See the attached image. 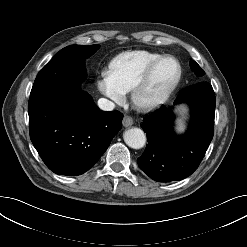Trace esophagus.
<instances>
[{
    "mask_svg": "<svg viewBox=\"0 0 247 247\" xmlns=\"http://www.w3.org/2000/svg\"><path fill=\"white\" fill-rule=\"evenodd\" d=\"M122 123L124 127H130L133 124V119L130 116L125 115Z\"/></svg>",
    "mask_w": 247,
    "mask_h": 247,
    "instance_id": "1",
    "label": "esophagus"
}]
</instances>
